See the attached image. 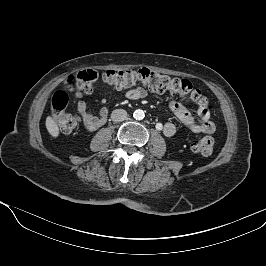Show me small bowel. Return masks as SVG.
Instances as JSON below:
<instances>
[{"mask_svg":"<svg viewBox=\"0 0 266 266\" xmlns=\"http://www.w3.org/2000/svg\"><path fill=\"white\" fill-rule=\"evenodd\" d=\"M127 98L131 100L142 99L146 96V91L143 88H134L126 93ZM101 104H106L107 99L101 97ZM169 107L174 115L181 123L190 128L195 133L212 134L215 131V126L210 120L208 107L199 108L196 115H192L187 108L177 101H169ZM77 110L82 118L83 125L87 131H95L101 127L107 118L108 110L102 107L98 115L93 114L85 101H79ZM163 133L167 137H172L176 133V126L167 122L163 125Z\"/></svg>","mask_w":266,"mask_h":266,"instance_id":"1","label":"small bowel"}]
</instances>
